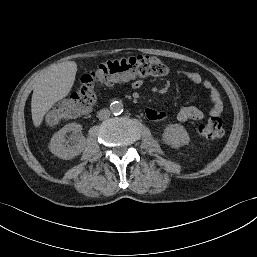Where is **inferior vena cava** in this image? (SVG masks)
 I'll return each instance as SVG.
<instances>
[{"instance_id": "obj_1", "label": "inferior vena cava", "mask_w": 257, "mask_h": 257, "mask_svg": "<svg viewBox=\"0 0 257 257\" xmlns=\"http://www.w3.org/2000/svg\"><path fill=\"white\" fill-rule=\"evenodd\" d=\"M110 110H108V109H102V110H100L99 112H98V118L100 119V120H105V119H107V118H109L110 117Z\"/></svg>"}]
</instances>
